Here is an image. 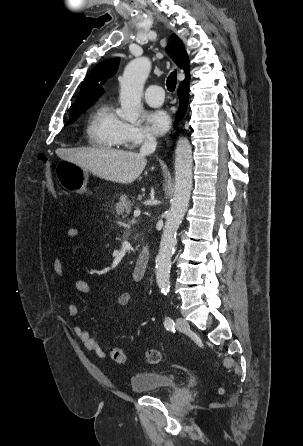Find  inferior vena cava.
<instances>
[{
    "instance_id": "602c4592",
    "label": "inferior vena cava",
    "mask_w": 303,
    "mask_h": 446,
    "mask_svg": "<svg viewBox=\"0 0 303 446\" xmlns=\"http://www.w3.org/2000/svg\"><path fill=\"white\" fill-rule=\"evenodd\" d=\"M156 139L153 136H148L145 141L144 144L142 145L141 149H140V154L141 155H149L151 153H153L156 149Z\"/></svg>"
}]
</instances>
